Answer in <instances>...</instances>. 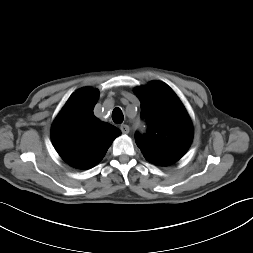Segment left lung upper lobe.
<instances>
[{"label":"left lung upper lobe","mask_w":253,"mask_h":253,"mask_svg":"<svg viewBox=\"0 0 253 253\" xmlns=\"http://www.w3.org/2000/svg\"><path fill=\"white\" fill-rule=\"evenodd\" d=\"M148 133L135 141L149 162L167 166L188 150L193 135L191 120L178 96L165 83L152 81L135 89Z\"/></svg>","instance_id":"left-lung-upper-lobe-1"}]
</instances>
